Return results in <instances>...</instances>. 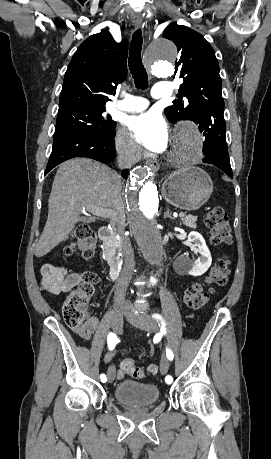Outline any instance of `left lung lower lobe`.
Segmentation results:
<instances>
[{"mask_svg": "<svg viewBox=\"0 0 271 459\" xmlns=\"http://www.w3.org/2000/svg\"><path fill=\"white\" fill-rule=\"evenodd\" d=\"M199 130L205 136L203 162L213 164L233 178L226 143V122L224 118L205 120L199 123Z\"/></svg>", "mask_w": 271, "mask_h": 459, "instance_id": "left-lung-lower-lobe-1", "label": "left lung lower lobe"}]
</instances>
